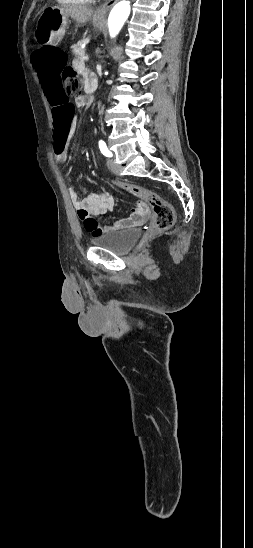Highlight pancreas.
Wrapping results in <instances>:
<instances>
[{"label":"pancreas","instance_id":"pancreas-1","mask_svg":"<svg viewBox=\"0 0 253 548\" xmlns=\"http://www.w3.org/2000/svg\"><path fill=\"white\" fill-rule=\"evenodd\" d=\"M82 42H78L77 44L72 46V52L76 57V60L83 61V56L85 55V49H82L81 47Z\"/></svg>","mask_w":253,"mask_h":548}]
</instances>
